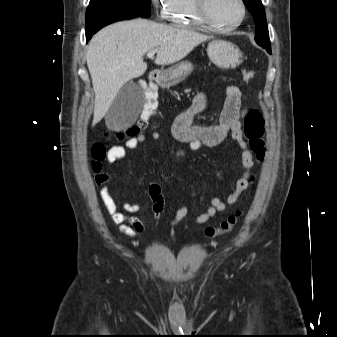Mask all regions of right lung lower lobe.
I'll return each mask as SVG.
<instances>
[{"label": "right lung lower lobe", "mask_w": 337, "mask_h": 337, "mask_svg": "<svg viewBox=\"0 0 337 337\" xmlns=\"http://www.w3.org/2000/svg\"><path fill=\"white\" fill-rule=\"evenodd\" d=\"M135 17L137 16L117 13V14L103 15V16H100L98 18H95L87 22L86 23V42H88L91 39L92 35L95 34L102 27L108 24H111L113 22H116V21L132 19Z\"/></svg>", "instance_id": "98d812e1"}]
</instances>
